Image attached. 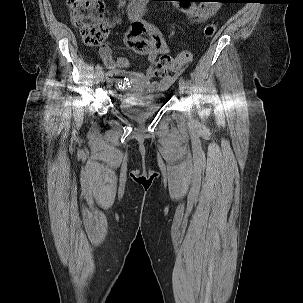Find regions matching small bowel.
<instances>
[{"instance_id":"obj_1","label":"small bowel","mask_w":303,"mask_h":303,"mask_svg":"<svg viewBox=\"0 0 303 303\" xmlns=\"http://www.w3.org/2000/svg\"><path fill=\"white\" fill-rule=\"evenodd\" d=\"M147 0H131L127 7V14L131 21V27L124 36L126 45L138 54L144 55L149 61H154L159 55L166 53L168 47L156 26L142 19L144 6ZM211 2V3H210ZM213 2V3H212ZM218 0L194 1L185 0L179 7L195 22H204L213 17L219 10ZM119 19L115 18L112 25H117ZM146 35V37H144ZM100 56L105 66L116 76L119 87L126 84L134 85L140 89L149 91H161L167 89L173 82L172 75H165L159 79H153L155 74L151 69L146 73L129 71V60L124 56L116 58L112 55L110 44L100 48Z\"/></svg>"}]
</instances>
